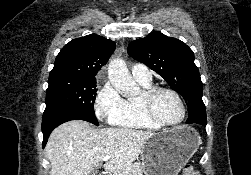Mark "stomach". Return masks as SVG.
<instances>
[{"mask_svg":"<svg viewBox=\"0 0 251 175\" xmlns=\"http://www.w3.org/2000/svg\"><path fill=\"white\" fill-rule=\"evenodd\" d=\"M200 143L198 131L190 125H177L165 133H152L141 151L145 175H177Z\"/></svg>","mask_w":251,"mask_h":175,"instance_id":"0dacf381","label":"stomach"}]
</instances>
